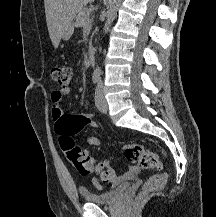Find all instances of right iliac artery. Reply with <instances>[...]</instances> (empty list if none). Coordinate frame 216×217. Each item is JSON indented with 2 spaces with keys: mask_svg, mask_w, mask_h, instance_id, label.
<instances>
[{
  "mask_svg": "<svg viewBox=\"0 0 216 217\" xmlns=\"http://www.w3.org/2000/svg\"><path fill=\"white\" fill-rule=\"evenodd\" d=\"M99 79H100V77H99L98 74H94L92 76V81H93L94 84L98 83Z\"/></svg>",
  "mask_w": 216,
  "mask_h": 217,
  "instance_id": "right-iliac-artery-1",
  "label": "right iliac artery"
}]
</instances>
